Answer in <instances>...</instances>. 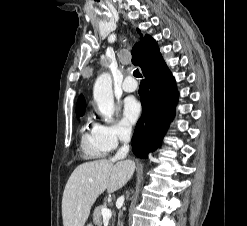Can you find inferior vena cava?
I'll return each instance as SVG.
<instances>
[{
	"instance_id": "inferior-vena-cava-1",
	"label": "inferior vena cava",
	"mask_w": 247,
	"mask_h": 226,
	"mask_svg": "<svg viewBox=\"0 0 247 226\" xmlns=\"http://www.w3.org/2000/svg\"><path fill=\"white\" fill-rule=\"evenodd\" d=\"M131 129L129 127H122L118 131L119 140L123 142V146L117 151L114 158L115 160L123 159L129 152L128 142L130 141Z\"/></svg>"
}]
</instances>
